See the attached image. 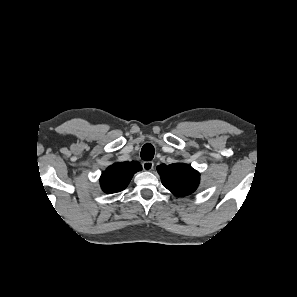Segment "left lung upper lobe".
<instances>
[{"label":"left lung upper lobe","mask_w":297,"mask_h":297,"mask_svg":"<svg viewBox=\"0 0 297 297\" xmlns=\"http://www.w3.org/2000/svg\"><path fill=\"white\" fill-rule=\"evenodd\" d=\"M163 185L174 195L182 197L193 193L199 184L200 174L191 166L182 163L161 164L157 167Z\"/></svg>","instance_id":"obj_1"}]
</instances>
